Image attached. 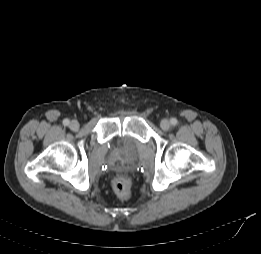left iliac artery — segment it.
<instances>
[{
    "label": "left iliac artery",
    "instance_id": "1",
    "mask_svg": "<svg viewBox=\"0 0 261 254\" xmlns=\"http://www.w3.org/2000/svg\"><path fill=\"white\" fill-rule=\"evenodd\" d=\"M170 122H171V124H172L173 126L177 125V123H178V121H177L176 118H172V119L170 120Z\"/></svg>",
    "mask_w": 261,
    "mask_h": 254
}]
</instances>
